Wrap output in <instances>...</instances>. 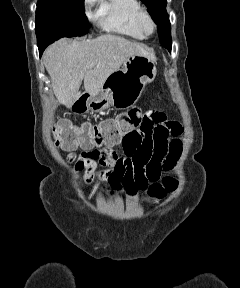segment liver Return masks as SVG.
Wrapping results in <instances>:
<instances>
[{
    "label": "liver",
    "mask_w": 240,
    "mask_h": 288,
    "mask_svg": "<svg viewBox=\"0 0 240 288\" xmlns=\"http://www.w3.org/2000/svg\"><path fill=\"white\" fill-rule=\"evenodd\" d=\"M137 54L155 58L138 43L106 34L71 43L62 38L45 50L43 61L58 102L71 108L81 96L82 81L85 92L96 96L109 76L128 57Z\"/></svg>",
    "instance_id": "1"
}]
</instances>
